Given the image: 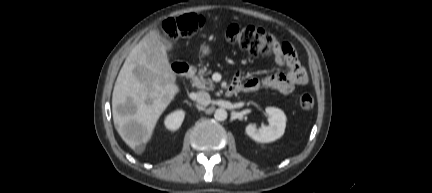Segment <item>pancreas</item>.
<instances>
[{"mask_svg":"<svg viewBox=\"0 0 432 193\" xmlns=\"http://www.w3.org/2000/svg\"><path fill=\"white\" fill-rule=\"evenodd\" d=\"M210 72L207 71L206 68H201L198 70V75L194 76L192 78L193 85L196 86L199 89H205V90H213L214 84L211 79H207L204 76L208 75Z\"/></svg>","mask_w":432,"mask_h":193,"instance_id":"cf45deb5","label":"pancreas"}]
</instances>
